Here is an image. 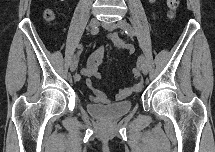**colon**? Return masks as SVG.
Listing matches in <instances>:
<instances>
[{
  "mask_svg": "<svg viewBox=\"0 0 215 152\" xmlns=\"http://www.w3.org/2000/svg\"><path fill=\"white\" fill-rule=\"evenodd\" d=\"M179 0H168L167 6L169 9L168 15L170 18H173L175 16V12L179 6ZM44 17L47 21H53L55 19V13L52 9H47L44 13ZM133 75L136 78H139L141 76V69L140 66L137 65L132 70Z\"/></svg>",
  "mask_w": 215,
  "mask_h": 152,
  "instance_id": "5ec220e1",
  "label": "colon"
}]
</instances>
